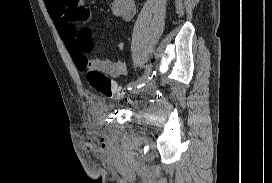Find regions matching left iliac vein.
<instances>
[{
  "mask_svg": "<svg viewBox=\"0 0 272 183\" xmlns=\"http://www.w3.org/2000/svg\"><path fill=\"white\" fill-rule=\"evenodd\" d=\"M154 83H155V82H154L153 79H152V80H147V81L145 82V86H144V87H142V88H140V89H138V88H133L132 93H134V94H139V93H141V92L147 91V90H149V89H151V88L153 87Z\"/></svg>",
  "mask_w": 272,
  "mask_h": 183,
  "instance_id": "1",
  "label": "left iliac vein"
}]
</instances>
